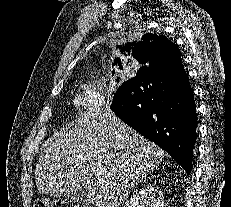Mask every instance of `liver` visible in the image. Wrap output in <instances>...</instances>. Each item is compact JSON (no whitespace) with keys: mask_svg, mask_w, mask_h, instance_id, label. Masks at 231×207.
Returning <instances> with one entry per match:
<instances>
[{"mask_svg":"<svg viewBox=\"0 0 231 207\" xmlns=\"http://www.w3.org/2000/svg\"><path fill=\"white\" fill-rule=\"evenodd\" d=\"M164 156L106 107L78 117L44 143L35 168L36 186L55 197L83 189L97 207H120Z\"/></svg>","mask_w":231,"mask_h":207,"instance_id":"liver-1","label":"liver"}]
</instances>
